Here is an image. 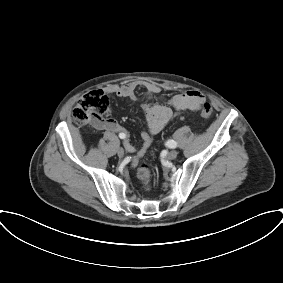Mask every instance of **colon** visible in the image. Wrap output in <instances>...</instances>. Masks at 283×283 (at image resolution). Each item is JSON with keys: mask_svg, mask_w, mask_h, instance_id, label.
<instances>
[{"mask_svg": "<svg viewBox=\"0 0 283 283\" xmlns=\"http://www.w3.org/2000/svg\"><path fill=\"white\" fill-rule=\"evenodd\" d=\"M212 106L207 102H202L198 106V113L202 118H209L212 115ZM110 113L108 98L100 91H91L79 98L72 110L73 121L80 126L92 124L102 127L105 117ZM138 177L147 189H150L151 172L146 165H141L138 169Z\"/></svg>", "mask_w": 283, "mask_h": 283, "instance_id": "obj_1", "label": "colon"}]
</instances>
